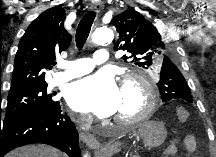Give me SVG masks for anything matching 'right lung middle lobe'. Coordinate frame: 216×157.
<instances>
[{
    "mask_svg": "<svg viewBox=\"0 0 216 157\" xmlns=\"http://www.w3.org/2000/svg\"><path fill=\"white\" fill-rule=\"evenodd\" d=\"M7 101V112L3 124L33 113L52 110L59 104L58 101L52 99V95L47 94V85L27 87L9 92Z\"/></svg>",
    "mask_w": 216,
    "mask_h": 157,
    "instance_id": "obj_1",
    "label": "right lung middle lobe"
}]
</instances>
